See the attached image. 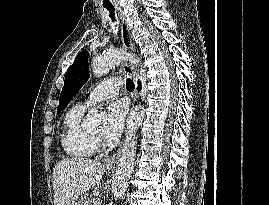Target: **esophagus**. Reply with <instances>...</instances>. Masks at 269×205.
<instances>
[{"label":"esophagus","mask_w":269,"mask_h":205,"mask_svg":"<svg viewBox=\"0 0 269 205\" xmlns=\"http://www.w3.org/2000/svg\"><path fill=\"white\" fill-rule=\"evenodd\" d=\"M120 22H121V40H122V46L125 49V51L134 53L135 47L132 39V35L128 26V22L126 17L124 16L122 10L120 8L117 9ZM123 70L125 73L130 76L135 83H137L138 74L135 71V69L131 66L129 62H125L123 64ZM138 95L135 94L133 97V103L134 105L135 101L137 100ZM123 146H121L110 158H108L105 162V165H115L117 163V160L119 159L121 152H122Z\"/></svg>","instance_id":"obj_1"}]
</instances>
